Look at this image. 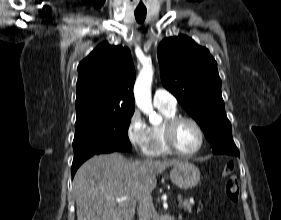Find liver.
<instances>
[{"label":"liver","instance_id":"liver-1","mask_svg":"<svg viewBox=\"0 0 281 220\" xmlns=\"http://www.w3.org/2000/svg\"><path fill=\"white\" fill-rule=\"evenodd\" d=\"M179 163L130 162L119 153L92 157L77 170L73 180L77 220H133L139 198L155 189L156 175ZM126 196L127 201H116Z\"/></svg>","mask_w":281,"mask_h":220}]
</instances>
